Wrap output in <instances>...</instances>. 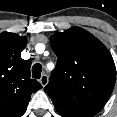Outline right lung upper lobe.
<instances>
[{
    "mask_svg": "<svg viewBox=\"0 0 117 117\" xmlns=\"http://www.w3.org/2000/svg\"><path fill=\"white\" fill-rule=\"evenodd\" d=\"M26 45V36L0 33V117L22 116L32 92L42 88L30 79L31 60L21 58Z\"/></svg>",
    "mask_w": 117,
    "mask_h": 117,
    "instance_id": "obj_1",
    "label": "right lung upper lobe"
}]
</instances>
